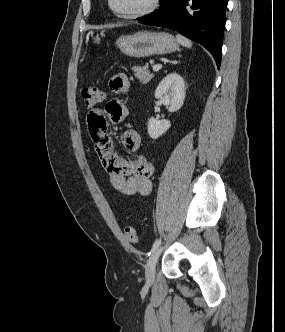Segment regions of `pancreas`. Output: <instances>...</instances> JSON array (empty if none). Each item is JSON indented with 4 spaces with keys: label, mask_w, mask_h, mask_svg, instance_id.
Returning a JSON list of instances; mask_svg holds the SVG:
<instances>
[{
    "label": "pancreas",
    "mask_w": 285,
    "mask_h": 332,
    "mask_svg": "<svg viewBox=\"0 0 285 332\" xmlns=\"http://www.w3.org/2000/svg\"><path fill=\"white\" fill-rule=\"evenodd\" d=\"M132 71L142 84H147L153 77V74H150L148 71V65H145L144 67L134 66Z\"/></svg>",
    "instance_id": "pancreas-1"
}]
</instances>
